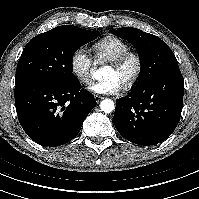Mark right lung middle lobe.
Returning a JSON list of instances; mask_svg holds the SVG:
<instances>
[{
    "instance_id": "dd1d6c3e",
    "label": "right lung middle lobe",
    "mask_w": 199,
    "mask_h": 199,
    "mask_svg": "<svg viewBox=\"0 0 199 199\" xmlns=\"http://www.w3.org/2000/svg\"><path fill=\"white\" fill-rule=\"evenodd\" d=\"M99 34L96 31L64 25L35 36L19 59L15 84L30 81L64 84L76 81L77 78L72 73L73 55Z\"/></svg>"
}]
</instances>
